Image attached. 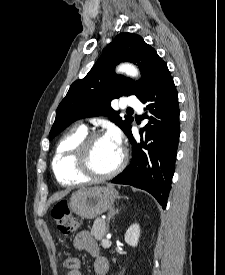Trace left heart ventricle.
I'll list each match as a JSON object with an SVG mask.
<instances>
[{"mask_svg": "<svg viewBox=\"0 0 225 275\" xmlns=\"http://www.w3.org/2000/svg\"><path fill=\"white\" fill-rule=\"evenodd\" d=\"M120 158L121 148L103 137L93 143L89 155V164L95 173L106 174L118 165Z\"/></svg>", "mask_w": 225, "mask_h": 275, "instance_id": "obj_1", "label": "left heart ventricle"}]
</instances>
